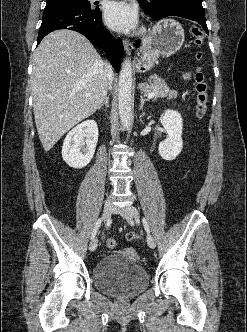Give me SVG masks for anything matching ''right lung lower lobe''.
<instances>
[{
  "instance_id": "1",
  "label": "right lung lower lobe",
  "mask_w": 247,
  "mask_h": 332,
  "mask_svg": "<svg viewBox=\"0 0 247 332\" xmlns=\"http://www.w3.org/2000/svg\"><path fill=\"white\" fill-rule=\"evenodd\" d=\"M58 29L77 31L86 36L92 43L106 51L107 57L116 72L124 56L121 39H115L104 29L99 8L85 9L77 6L45 7L39 29L37 44L50 32ZM110 45L111 49H107Z\"/></svg>"
}]
</instances>
